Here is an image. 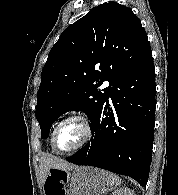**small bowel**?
<instances>
[{"label":"small bowel","mask_w":178,"mask_h":195,"mask_svg":"<svg viewBox=\"0 0 178 195\" xmlns=\"http://www.w3.org/2000/svg\"><path fill=\"white\" fill-rule=\"evenodd\" d=\"M47 195H62V194H61L60 189H56V190H50V189H48L47 190Z\"/></svg>","instance_id":"1"}]
</instances>
